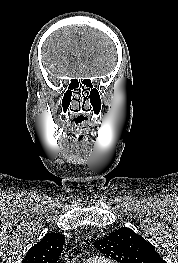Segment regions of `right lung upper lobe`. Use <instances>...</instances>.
Segmentation results:
<instances>
[{"instance_id":"cb5924a9","label":"right lung upper lobe","mask_w":178,"mask_h":263,"mask_svg":"<svg viewBox=\"0 0 178 263\" xmlns=\"http://www.w3.org/2000/svg\"><path fill=\"white\" fill-rule=\"evenodd\" d=\"M65 238L60 233H48L29 249L22 263H57Z\"/></svg>"}]
</instances>
